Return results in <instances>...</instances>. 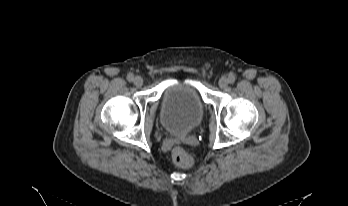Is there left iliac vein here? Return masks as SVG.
<instances>
[{"label":"left iliac vein","instance_id":"4c4485c4","mask_svg":"<svg viewBox=\"0 0 348 206\" xmlns=\"http://www.w3.org/2000/svg\"><path fill=\"white\" fill-rule=\"evenodd\" d=\"M228 83H229V81L226 77H221L219 82H218L219 87L222 89L226 88L228 86Z\"/></svg>","mask_w":348,"mask_h":206}]
</instances>
